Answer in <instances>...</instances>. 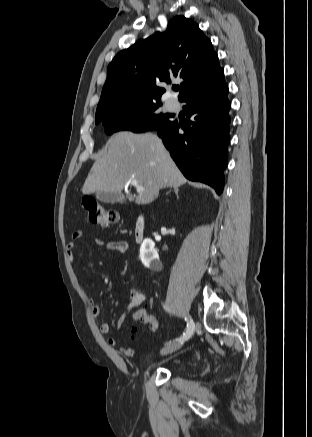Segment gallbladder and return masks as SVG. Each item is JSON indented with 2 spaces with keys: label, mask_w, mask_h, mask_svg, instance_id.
I'll use <instances>...</instances> for the list:
<instances>
[{
  "label": "gallbladder",
  "mask_w": 312,
  "mask_h": 437,
  "mask_svg": "<svg viewBox=\"0 0 312 437\" xmlns=\"http://www.w3.org/2000/svg\"><path fill=\"white\" fill-rule=\"evenodd\" d=\"M96 198L104 203L124 202V198H121L120 194L108 191H100L96 193ZM132 200V197L129 198Z\"/></svg>",
  "instance_id": "1"
}]
</instances>
